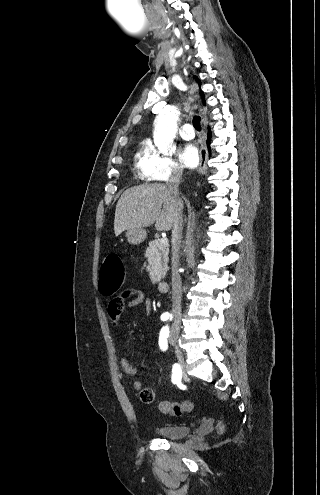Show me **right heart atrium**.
Returning <instances> with one entry per match:
<instances>
[{
	"instance_id": "right-heart-atrium-1",
	"label": "right heart atrium",
	"mask_w": 320,
	"mask_h": 495,
	"mask_svg": "<svg viewBox=\"0 0 320 495\" xmlns=\"http://www.w3.org/2000/svg\"><path fill=\"white\" fill-rule=\"evenodd\" d=\"M144 165L147 179L158 182L179 177L183 172L182 166L171 154H162L154 149L146 154Z\"/></svg>"
}]
</instances>
